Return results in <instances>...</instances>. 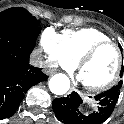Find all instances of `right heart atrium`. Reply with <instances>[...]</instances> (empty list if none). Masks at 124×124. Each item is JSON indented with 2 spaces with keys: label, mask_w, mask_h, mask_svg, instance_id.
Returning a JSON list of instances; mask_svg holds the SVG:
<instances>
[{
  "label": "right heart atrium",
  "mask_w": 124,
  "mask_h": 124,
  "mask_svg": "<svg viewBox=\"0 0 124 124\" xmlns=\"http://www.w3.org/2000/svg\"><path fill=\"white\" fill-rule=\"evenodd\" d=\"M39 44L41 50L47 54L50 62L59 64L67 70L75 67V63L71 62L63 51L60 34L52 28L43 30Z\"/></svg>",
  "instance_id": "d8ad5b80"
}]
</instances>
